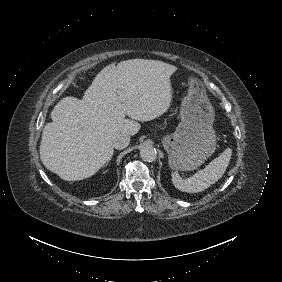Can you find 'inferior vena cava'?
<instances>
[{"mask_svg":"<svg viewBox=\"0 0 282 282\" xmlns=\"http://www.w3.org/2000/svg\"><path fill=\"white\" fill-rule=\"evenodd\" d=\"M129 141L130 137L128 134H118L113 137L112 146L117 150H121L128 146Z\"/></svg>","mask_w":282,"mask_h":282,"instance_id":"602c4592","label":"inferior vena cava"}]
</instances>
